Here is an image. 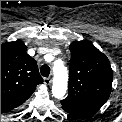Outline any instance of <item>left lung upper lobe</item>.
Listing matches in <instances>:
<instances>
[{"label": "left lung upper lobe", "instance_id": "1", "mask_svg": "<svg viewBox=\"0 0 122 122\" xmlns=\"http://www.w3.org/2000/svg\"><path fill=\"white\" fill-rule=\"evenodd\" d=\"M72 59L69 72V90L61 100L63 108L88 117L108 100L113 72L105 54L88 41H75L69 46Z\"/></svg>", "mask_w": 122, "mask_h": 122}]
</instances>
